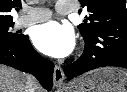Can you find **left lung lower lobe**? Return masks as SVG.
Returning <instances> with one entry per match:
<instances>
[{
    "label": "left lung lower lobe",
    "mask_w": 127,
    "mask_h": 92,
    "mask_svg": "<svg viewBox=\"0 0 127 92\" xmlns=\"http://www.w3.org/2000/svg\"><path fill=\"white\" fill-rule=\"evenodd\" d=\"M84 41L81 57L64 67L67 80L99 67L127 68V30L103 29Z\"/></svg>",
    "instance_id": "0a47b994"
}]
</instances>
